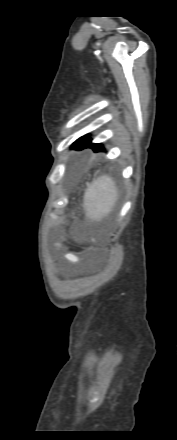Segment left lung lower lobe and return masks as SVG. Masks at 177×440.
<instances>
[{
    "mask_svg": "<svg viewBox=\"0 0 177 440\" xmlns=\"http://www.w3.org/2000/svg\"><path fill=\"white\" fill-rule=\"evenodd\" d=\"M86 147H91L94 152L105 151L104 146L100 143H92L91 139L88 137L83 138L78 143H76L74 149H84Z\"/></svg>",
    "mask_w": 177,
    "mask_h": 440,
    "instance_id": "obj_1",
    "label": "left lung lower lobe"
}]
</instances>
